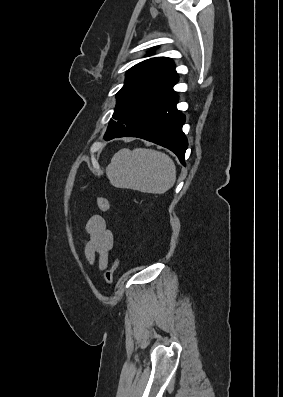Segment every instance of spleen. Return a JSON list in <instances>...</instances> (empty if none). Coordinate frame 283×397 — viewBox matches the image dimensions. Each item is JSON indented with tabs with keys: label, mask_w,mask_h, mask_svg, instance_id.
Returning a JSON list of instances; mask_svg holds the SVG:
<instances>
[{
	"label": "spleen",
	"mask_w": 283,
	"mask_h": 397,
	"mask_svg": "<svg viewBox=\"0 0 283 397\" xmlns=\"http://www.w3.org/2000/svg\"><path fill=\"white\" fill-rule=\"evenodd\" d=\"M110 183L143 193L164 194L176 181L174 161L153 149H121L106 168Z\"/></svg>",
	"instance_id": "3e777b00"
}]
</instances>
